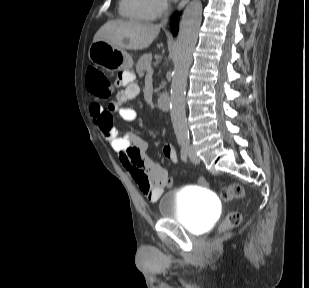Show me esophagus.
Wrapping results in <instances>:
<instances>
[{
  "instance_id": "obj_1",
  "label": "esophagus",
  "mask_w": 309,
  "mask_h": 288,
  "mask_svg": "<svg viewBox=\"0 0 309 288\" xmlns=\"http://www.w3.org/2000/svg\"><path fill=\"white\" fill-rule=\"evenodd\" d=\"M188 2H189V0H181V2L178 5V8H177L178 11H181Z\"/></svg>"
}]
</instances>
